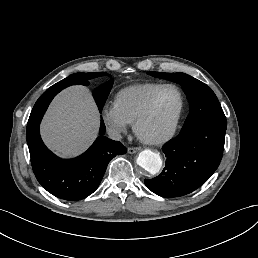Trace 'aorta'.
<instances>
[{"mask_svg": "<svg viewBox=\"0 0 258 258\" xmlns=\"http://www.w3.org/2000/svg\"><path fill=\"white\" fill-rule=\"evenodd\" d=\"M137 163L150 174L158 173L162 167V159L159 153L148 149L139 154Z\"/></svg>", "mask_w": 258, "mask_h": 258, "instance_id": "1", "label": "aorta"}]
</instances>
